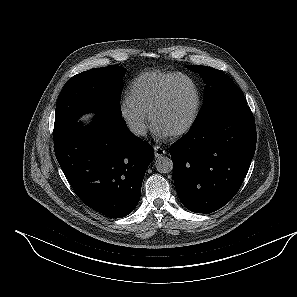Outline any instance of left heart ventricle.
<instances>
[{"instance_id":"b2bd125f","label":"left heart ventricle","mask_w":297,"mask_h":297,"mask_svg":"<svg viewBox=\"0 0 297 297\" xmlns=\"http://www.w3.org/2000/svg\"><path fill=\"white\" fill-rule=\"evenodd\" d=\"M194 102L191 84L185 80L177 82L166 104L155 115L154 127L166 135L177 130L189 119Z\"/></svg>"}]
</instances>
